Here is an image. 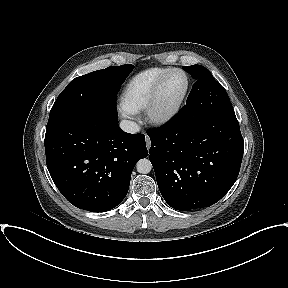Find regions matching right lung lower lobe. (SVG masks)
<instances>
[{
    "label": "right lung lower lobe",
    "instance_id": "1",
    "mask_svg": "<svg viewBox=\"0 0 288 288\" xmlns=\"http://www.w3.org/2000/svg\"><path fill=\"white\" fill-rule=\"evenodd\" d=\"M46 164L62 195L74 206L104 212L126 196L132 170L147 156L145 136L129 134L118 118L78 116L46 129Z\"/></svg>",
    "mask_w": 288,
    "mask_h": 288
}]
</instances>
